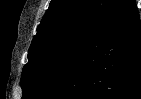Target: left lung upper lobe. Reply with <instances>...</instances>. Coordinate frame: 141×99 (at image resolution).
Wrapping results in <instances>:
<instances>
[{"label": "left lung upper lobe", "instance_id": "obj_1", "mask_svg": "<svg viewBox=\"0 0 141 99\" xmlns=\"http://www.w3.org/2000/svg\"><path fill=\"white\" fill-rule=\"evenodd\" d=\"M122 0H52L28 51L22 99H38Z\"/></svg>", "mask_w": 141, "mask_h": 99}]
</instances>
